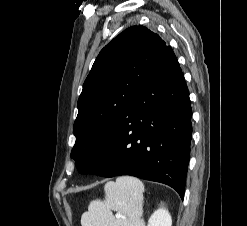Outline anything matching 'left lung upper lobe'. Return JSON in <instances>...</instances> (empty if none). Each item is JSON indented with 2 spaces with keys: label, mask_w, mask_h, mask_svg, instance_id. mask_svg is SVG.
Masks as SVG:
<instances>
[{
  "label": "left lung upper lobe",
  "mask_w": 247,
  "mask_h": 226,
  "mask_svg": "<svg viewBox=\"0 0 247 226\" xmlns=\"http://www.w3.org/2000/svg\"><path fill=\"white\" fill-rule=\"evenodd\" d=\"M166 43L143 26H132L107 44L97 56L78 100L71 158L84 164L114 132L117 122Z\"/></svg>",
  "instance_id": "left-lung-upper-lobe-1"
}]
</instances>
